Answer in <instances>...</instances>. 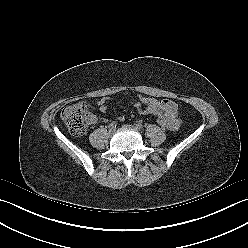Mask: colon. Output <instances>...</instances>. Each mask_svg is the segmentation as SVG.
<instances>
[{"label": "colon", "instance_id": "colon-1", "mask_svg": "<svg viewBox=\"0 0 248 248\" xmlns=\"http://www.w3.org/2000/svg\"><path fill=\"white\" fill-rule=\"evenodd\" d=\"M61 117L71 134L80 136L84 134L90 124L92 112L91 106L85 102H78L66 106L61 113ZM157 123L162 128H168L169 123L164 118H158Z\"/></svg>", "mask_w": 248, "mask_h": 248}]
</instances>
